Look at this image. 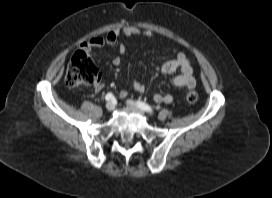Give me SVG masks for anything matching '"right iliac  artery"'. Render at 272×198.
Returning a JSON list of instances; mask_svg holds the SVG:
<instances>
[{"label":"right iliac artery","instance_id":"right-iliac-artery-1","mask_svg":"<svg viewBox=\"0 0 272 198\" xmlns=\"http://www.w3.org/2000/svg\"><path fill=\"white\" fill-rule=\"evenodd\" d=\"M113 98H114V96H113L112 93H107L106 96H105V99H106L107 101H110V100H112Z\"/></svg>","mask_w":272,"mask_h":198}]
</instances>
